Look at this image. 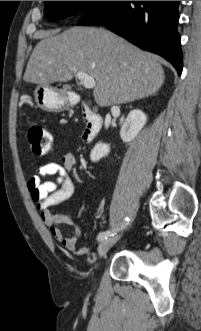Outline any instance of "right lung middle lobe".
Returning a JSON list of instances; mask_svg holds the SVG:
<instances>
[{
	"label": "right lung middle lobe",
	"instance_id": "dd1d6c3e",
	"mask_svg": "<svg viewBox=\"0 0 201 331\" xmlns=\"http://www.w3.org/2000/svg\"><path fill=\"white\" fill-rule=\"evenodd\" d=\"M101 1H45L44 14L49 21L71 15H84Z\"/></svg>",
	"mask_w": 201,
	"mask_h": 331
}]
</instances>
